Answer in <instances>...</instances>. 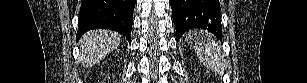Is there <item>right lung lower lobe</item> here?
I'll use <instances>...</instances> for the list:
<instances>
[{
  "label": "right lung lower lobe",
  "instance_id": "right-lung-lower-lobe-1",
  "mask_svg": "<svg viewBox=\"0 0 307 83\" xmlns=\"http://www.w3.org/2000/svg\"><path fill=\"white\" fill-rule=\"evenodd\" d=\"M135 0H82L77 38L93 29H110L130 42Z\"/></svg>",
  "mask_w": 307,
  "mask_h": 83
}]
</instances>
